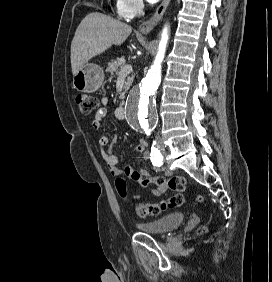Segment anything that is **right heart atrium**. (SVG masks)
<instances>
[{
    "mask_svg": "<svg viewBox=\"0 0 272 282\" xmlns=\"http://www.w3.org/2000/svg\"><path fill=\"white\" fill-rule=\"evenodd\" d=\"M144 8L142 0H120L117 13L124 18L132 19L139 15Z\"/></svg>",
    "mask_w": 272,
    "mask_h": 282,
    "instance_id": "right-heart-atrium-1",
    "label": "right heart atrium"
}]
</instances>
